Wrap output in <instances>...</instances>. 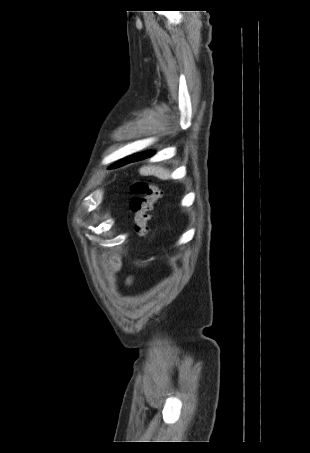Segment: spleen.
Listing matches in <instances>:
<instances>
[{
  "mask_svg": "<svg viewBox=\"0 0 310 453\" xmlns=\"http://www.w3.org/2000/svg\"><path fill=\"white\" fill-rule=\"evenodd\" d=\"M140 172L142 174L154 175L161 180H167L170 177V172L167 169L158 166L144 167L140 169Z\"/></svg>",
  "mask_w": 310,
  "mask_h": 453,
  "instance_id": "obj_1",
  "label": "spleen"
}]
</instances>
